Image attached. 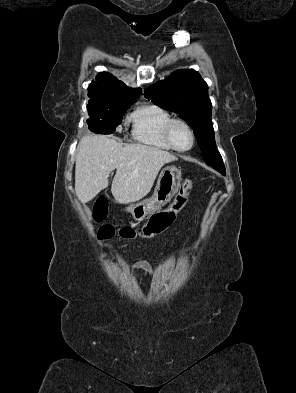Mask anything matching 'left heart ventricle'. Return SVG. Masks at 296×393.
I'll return each instance as SVG.
<instances>
[{"label": "left heart ventricle", "mask_w": 296, "mask_h": 393, "mask_svg": "<svg viewBox=\"0 0 296 393\" xmlns=\"http://www.w3.org/2000/svg\"><path fill=\"white\" fill-rule=\"evenodd\" d=\"M172 138L175 145L185 149L191 145L192 138L189 130L183 124H176L172 130Z\"/></svg>", "instance_id": "obj_1"}]
</instances>
